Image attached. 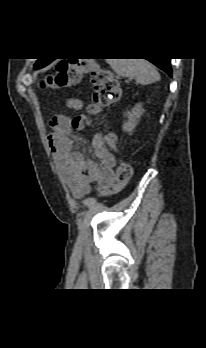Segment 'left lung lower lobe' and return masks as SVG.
<instances>
[{
  "label": "left lung lower lobe",
  "mask_w": 206,
  "mask_h": 348,
  "mask_svg": "<svg viewBox=\"0 0 206 348\" xmlns=\"http://www.w3.org/2000/svg\"><path fill=\"white\" fill-rule=\"evenodd\" d=\"M148 60L152 62L154 65H156L157 67H159L161 70L165 71L169 76H171L172 69H171L168 58L148 59Z\"/></svg>",
  "instance_id": "0a47b994"
}]
</instances>
